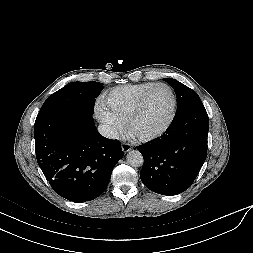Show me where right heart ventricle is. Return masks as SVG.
I'll return each mask as SVG.
<instances>
[{"mask_svg":"<svg viewBox=\"0 0 253 253\" xmlns=\"http://www.w3.org/2000/svg\"><path fill=\"white\" fill-rule=\"evenodd\" d=\"M153 83L126 84L113 88L104 97V105L123 124L127 122L140 95Z\"/></svg>","mask_w":253,"mask_h":253,"instance_id":"obj_1","label":"right heart ventricle"}]
</instances>
